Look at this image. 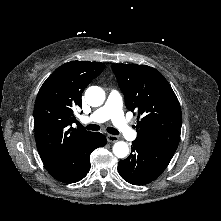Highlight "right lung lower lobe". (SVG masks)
<instances>
[{
    "instance_id": "obj_1",
    "label": "right lung lower lobe",
    "mask_w": 221,
    "mask_h": 221,
    "mask_svg": "<svg viewBox=\"0 0 221 221\" xmlns=\"http://www.w3.org/2000/svg\"><path fill=\"white\" fill-rule=\"evenodd\" d=\"M107 143L106 137L98 132L91 133L85 139L71 147L64 155L45 165L47 171L64 183H75L83 179L90 170V154Z\"/></svg>"
}]
</instances>
